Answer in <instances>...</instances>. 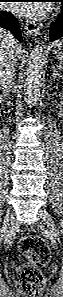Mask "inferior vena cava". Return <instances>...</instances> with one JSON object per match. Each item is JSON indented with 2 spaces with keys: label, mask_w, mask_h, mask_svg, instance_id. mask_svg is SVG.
<instances>
[{
  "label": "inferior vena cava",
  "mask_w": 63,
  "mask_h": 297,
  "mask_svg": "<svg viewBox=\"0 0 63 297\" xmlns=\"http://www.w3.org/2000/svg\"><path fill=\"white\" fill-rule=\"evenodd\" d=\"M16 45L14 37L6 50L0 53V86L3 97H8L15 76L16 69Z\"/></svg>",
  "instance_id": "obj_1"
}]
</instances>
